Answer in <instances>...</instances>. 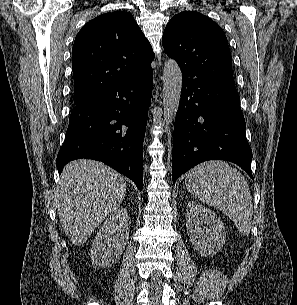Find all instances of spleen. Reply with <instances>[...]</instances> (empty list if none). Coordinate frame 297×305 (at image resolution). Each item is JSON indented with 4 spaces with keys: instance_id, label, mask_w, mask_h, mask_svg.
Here are the masks:
<instances>
[{
    "instance_id": "3e777b00",
    "label": "spleen",
    "mask_w": 297,
    "mask_h": 305,
    "mask_svg": "<svg viewBox=\"0 0 297 305\" xmlns=\"http://www.w3.org/2000/svg\"><path fill=\"white\" fill-rule=\"evenodd\" d=\"M185 185L195 198L225 213L243 236L250 233L251 192L236 168L223 161L205 162L186 174Z\"/></svg>"
}]
</instances>
